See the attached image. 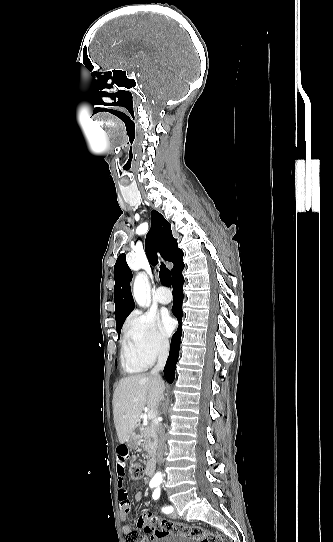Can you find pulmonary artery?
Segmentation results:
<instances>
[{"instance_id":"pulmonary-artery-1","label":"pulmonary artery","mask_w":333,"mask_h":542,"mask_svg":"<svg viewBox=\"0 0 333 542\" xmlns=\"http://www.w3.org/2000/svg\"><path fill=\"white\" fill-rule=\"evenodd\" d=\"M157 300L162 305H167L171 302L170 291L165 285H160L158 287Z\"/></svg>"}]
</instances>
